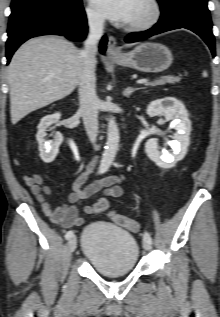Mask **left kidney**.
Returning <instances> with one entry per match:
<instances>
[{
    "label": "left kidney",
    "instance_id": "1",
    "mask_svg": "<svg viewBox=\"0 0 220 317\" xmlns=\"http://www.w3.org/2000/svg\"><path fill=\"white\" fill-rule=\"evenodd\" d=\"M150 117L164 115L171 120L170 126L176 130L170 146L173 153L169 154L167 150H158L156 139H149L145 144V152L148 157L161 168H171L178 161L182 160L190 144L191 122L188 118V112L183 103L173 97H165L152 101L146 110Z\"/></svg>",
    "mask_w": 220,
    "mask_h": 317
}]
</instances>
